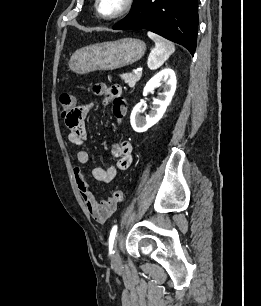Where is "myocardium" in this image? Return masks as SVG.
<instances>
[{
	"label": "myocardium",
	"instance_id": "f54148a6",
	"mask_svg": "<svg viewBox=\"0 0 261 306\" xmlns=\"http://www.w3.org/2000/svg\"><path fill=\"white\" fill-rule=\"evenodd\" d=\"M134 2L135 0H123L121 8L117 12L111 15H105L101 12L100 7H99L100 0H95L94 8H95L97 15L101 17L102 19L115 20L127 14L132 9Z\"/></svg>",
	"mask_w": 261,
	"mask_h": 306
}]
</instances>
